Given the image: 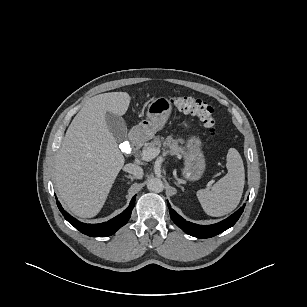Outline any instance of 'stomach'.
Instances as JSON below:
<instances>
[{
    "mask_svg": "<svg viewBox=\"0 0 307 307\" xmlns=\"http://www.w3.org/2000/svg\"><path fill=\"white\" fill-rule=\"evenodd\" d=\"M171 108L170 100L165 97L153 100L148 105L147 118L134 128L137 137L141 140L153 138L155 133L162 129L167 122ZM201 145V140L197 136H191L186 143L184 176L190 181L200 179L205 170L206 164Z\"/></svg>",
    "mask_w": 307,
    "mask_h": 307,
    "instance_id": "1",
    "label": "stomach"
}]
</instances>
